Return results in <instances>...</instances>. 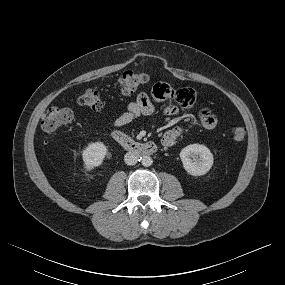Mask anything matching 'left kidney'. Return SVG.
Masks as SVG:
<instances>
[{"instance_id": "1", "label": "left kidney", "mask_w": 285, "mask_h": 285, "mask_svg": "<svg viewBox=\"0 0 285 285\" xmlns=\"http://www.w3.org/2000/svg\"><path fill=\"white\" fill-rule=\"evenodd\" d=\"M180 158L188 174L201 176L206 174L213 165V154L201 144H191L183 148Z\"/></svg>"}]
</instances>
